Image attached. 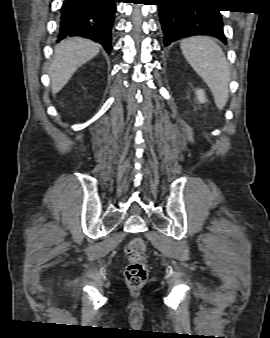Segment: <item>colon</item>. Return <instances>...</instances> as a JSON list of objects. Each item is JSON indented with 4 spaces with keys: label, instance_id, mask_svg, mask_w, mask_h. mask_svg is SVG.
I'll return each instance as SVG.
<instances>
[{
    "label": "colon",
    "instance_id": "5ec220e1",
    "mask_svg": "<svg viewBox=\"0 0 270 338\" xmlns=\"http://www.w3.org/2000/svg\"><path fill=\"white\" fill-rule=\"evenodd\" d=\"M125 280L129 287L141 288L148 275L146 265V244L141 238H133L127 246Z\"/></svg>",
    "mask_w": 270,
    "mask_h": 338
}]
</instances>
